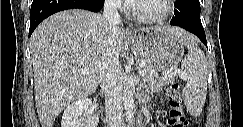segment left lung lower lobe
Instances as JSON below:
<instances>
[{
    "mask_svg": "<svg viewBox=\"0 0 243 127\" xmlns=\"http://www.w3.org/2000/svg\"><path fill=\"white\" fill-rule=\"evenodd\" d=\"M170 24L195 34L207 46L205 32L200 20L199 0H178Z\"/></svg>",
    "mask_w": 243,
    "mask_h": 127,
    "instance_id": "obj_1",
    "label": "left lung lower lobe"
}]
</instances>
